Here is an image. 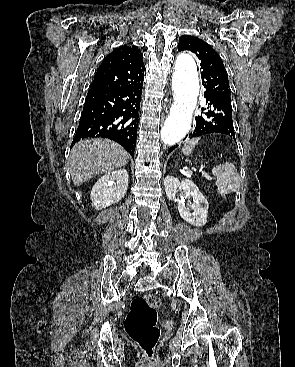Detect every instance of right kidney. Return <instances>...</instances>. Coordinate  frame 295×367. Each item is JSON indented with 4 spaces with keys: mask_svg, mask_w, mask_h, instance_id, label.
<instances>
[{
    "mask_svg": "<svg viewBox=\"0 0 295 367\" xmlns=\"http://www.w3.org/2000/svg\"><path fill=\"white\" fill-rule=\"evenodd\" d=\"M128 178L125 169H119L101 177L91 191L92 206L96 210H101L118 203L127 192Z\"/></svg>",
    "mask_w": 295,
    "mask_h": 367,
    "instance_id": "right-kidney-1",
    "label": "right kidney"
}]
</instances>
